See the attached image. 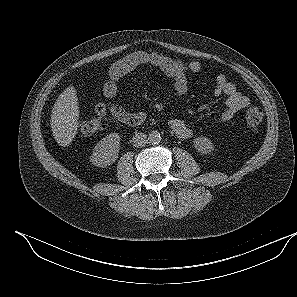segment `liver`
I'll list each match as a JSON object with an SVG mask.
<instances>
[{"mask_svg": "<svg viewBox=\"0 0 297 297\" xmlns=\"http://www.w3.org/2000/svg\"><path fill=\"white\" fill-rule=\"evenodd\" d=\"M79 105L74 86L67 87L57 98L51 114L52 134L60 146L74 140L79 127Z\"/></svg>", "mask_w": 297, "mask_h": 297, "instance_id": "liver-1", "label": "liver"}]
</instances>
